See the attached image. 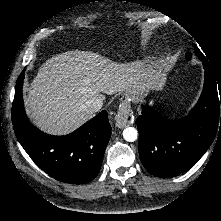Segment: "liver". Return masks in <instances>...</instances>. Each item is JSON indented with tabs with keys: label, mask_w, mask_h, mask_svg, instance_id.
<instances>
[{
	"label": "liver",
	"mask_w": 221,
	"mask_h": 221,
	"mask_svg": "<svg viewBox=\"0 0 221 221\" xmlns=\"http://www.w3.org/2000/svg\"><path fill=\"white\" fill-rule=\"evenodd\" d=\"M167 72L143 64L115 65L87 52L55 56L41 66L27 90L26 103L32 116L43 127L66 132L93 113L83 106L100 93L126 91L132 97L160 90Z\"/></svg>",
	"instance_id": "liver-1"
}]
</instances>
